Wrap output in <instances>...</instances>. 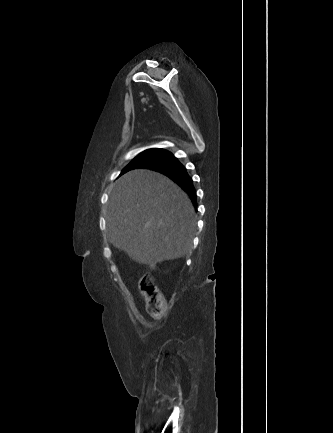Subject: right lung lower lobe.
I'll return each mask as SVG.
<instances>
[{
    "label": "right lung lower lobe",
    "instance_id": "right-lung-lower-lobe-1",
    "mask_svg": "<svg viewBox=\"0 0 333 433\" xmlns=\"http://www.w3.org/2000/svg\"><path fill=\"white\" fill-rule=\"evenodd\" d=\"M139 168H148L156 170L178 184L190 196L193 205L197 208L196 192L192 179L187 173L185 167L171 153L155 161L143 164Z\"/></svg>",
    "mask_w": 333,
    "mask_h": 433
}]
</instances>
